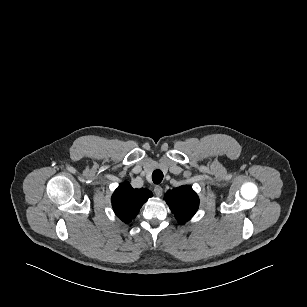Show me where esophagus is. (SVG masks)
Wrapping results in <instances>:
<instances>
[{"label":"esophagus","mask_w":307,"mask_h":307,"mask_svg":"<svg viewBox=\"0 0 307 307\" xmlns=\"http://www.w3.org/2000/svg\"><path fill=\"white\" fill-rule=\"evenodd\" d=\"M162 192H163V189H162L161 186L156 185V186L154 187V193H155V195H156L157 197H161V196H162Z\"/></svg>","instance_id":"obj_1"}]
</instances>
